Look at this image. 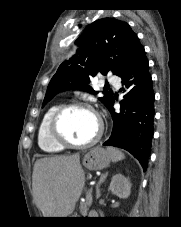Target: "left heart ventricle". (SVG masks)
I'll return each mask as SVG.
<instances>
[{
	"instance_id": "1",
	"label": "left heart ventricle",
	"mask_w": 181,
	"mask_h": 227,
	"mask_svg": "<svg viewBox=\"0 0 181 227\" xmlns=\"http://www.w3.org/2000/svg\"><path fill=\"white\" fill-rule=\"evenodd\" d=\"M61 133L70 141L84 143L92 139L97 130L96 117L88 110L74 108L68 110L59 123Z\"/></svg>"
}]
</instances>
